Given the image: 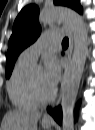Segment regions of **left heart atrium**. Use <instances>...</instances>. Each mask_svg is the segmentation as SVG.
<instances>
[{
    "instance_id": "obj_1",
    "label": "left heart atrium",
    "mask_w": 95,
    "mask_h": 130,
    "mask_svg": "<svg viewBox=\"0 0 95 130\" xmlns=\"http://www.w3.org/2000/svg\"><path fill=\"white\" fill-rule=\"evenodd\" d=\"M44 65V81L50 88L54 89L61 74L59 61L55 56L48 55L44 60Z\"/></svg>"
}]
</instances>
